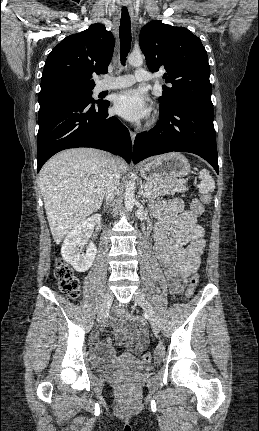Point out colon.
<instances>
[{"label":"colon","instance_id":"5ec220e1","mask_svg":"<svg viewBox=\"0 0 259 431\" xmlns=\"http://www.w3.org/2000/svg\"><path fill=\"white\" fill-rule=\"evenodd\" d=\"M211 196L208 194H204L200 197V200H194L189 208L193 211L194 216L197 219L203 218V208L204 205H209L211 203ZM55 277L58 281L59 287L63 293L69 296L72 299H76L79 296L80 283L78 278L73 274L71 268L61 259L56 261L55 267ZM199 281V276L197 273H194L188 282L187 286V297L190 298L194 295L197 285ZM117 350H122V347L119 346ZM152 359L151 353H145L142 357V361L144 363L150 362Z\"/></svg>","mask_w":259,"mask_h":431}]
</instances>
